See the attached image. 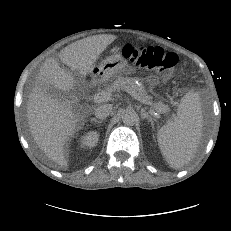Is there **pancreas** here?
Instances as JSON below:
<instances>
[{
  "label": "pancreas",
  "instance_id": "obj_1",
  "mask_svg": "<svg viewBox=\"0 0 231 231\" xmlns=\"http://www.w3.org/2000/svg\"><path fill=\"white\" fill-rule=\"evenodd\" d=\"M125 86H128L131 89L135 90L157 112L162 114H167L169 112L170 109L167 105H164L162 102H153L152 97L147 95L145 88L143 86H138L134 82V79L131 77L117 76L113 83L107 87V89L109 91H119Z\"/></svg>",
  "mask_w": 231,
  "mask_h": 231
}]
</instances>
